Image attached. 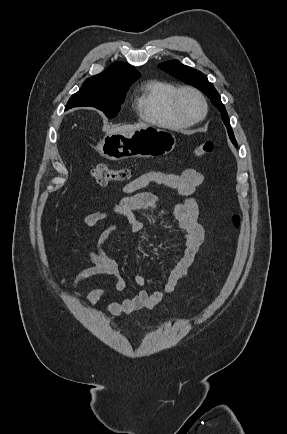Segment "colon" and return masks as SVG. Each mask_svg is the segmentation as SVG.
Wrapping results in <instances>:
<instances>
[{
	"label": "colon",
	"mask_w": 287,
	"mask_h": 434,
	"mask_svg": "<svg viewBox=\"0 0 287 434\" xmlns=\"http://www.w3.org/2000/svg\"><path fill=\"white\" fill-rule=\"evenodd\" d=\"M214 149L212 142H203L194 151L197 157H204L212 153ZM92 175L99 185H107L109 182L126 183L132 178V171L129 168H111L104 164L96 165L92 168ZM232 222L235 227H239L240 217L234 215Z\"/></svg>",
	"instance_id": "1"
}]
</instances>
